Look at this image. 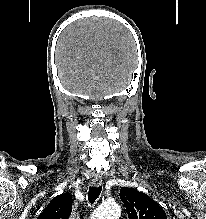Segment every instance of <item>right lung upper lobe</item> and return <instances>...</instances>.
<instances>
[{
	"instance_id": "obj_1",
	"label": "right lung upper lobe",
	"mask_w": 206,
	"mask_h": 219,
	"mask_svg": "<svg viewBox=\"0 0 206 219\" xmlns=\"http://www.w3.org/2000/svg\"><path fill=\"white\" fill-rule=\"evenodd\" d=\"M72 203L70 194L58 195L50 201L38 219H68L72 211Z\"/></svg>"
}]
</instances>
